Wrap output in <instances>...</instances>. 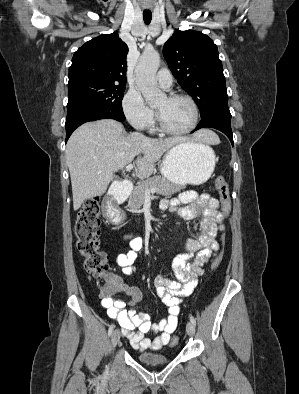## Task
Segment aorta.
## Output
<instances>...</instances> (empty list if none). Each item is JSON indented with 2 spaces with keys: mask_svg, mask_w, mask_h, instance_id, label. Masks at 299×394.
Listing matches in <instances>:
<instances>
[{
  "mask_svg": "<svg viewBox=\"0 0 299 394\" xmlns=\"http://www.w3.org/2000/svg\"><path fill=\"white\" fill-rule=\"evenodd\" d=\"M159 65L160 55L158 52H144L135 69L137 87L148 103H154L163 96L157 87L156 80Z\"/></svg>",
  "mask_w": 299,
  "mask_h": 394,
  "instance_id": "762f6f07",
  "label": "aorta"
}]
</instances>
